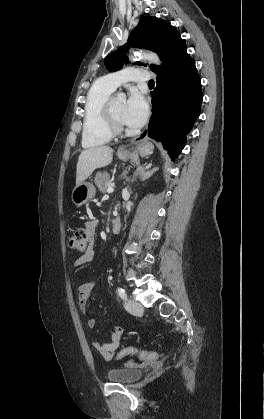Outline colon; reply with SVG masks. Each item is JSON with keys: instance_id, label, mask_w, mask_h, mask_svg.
Instances as JSON below:
<instances>
[{"instance_id": "colon-1", "label": "colon", "mask_w": 264, "mask_h": 419, "mask_svg": "<svg viewBox=\"0 0 264 419\" xmlns=\"http://www.w3.org/2000/svg\"><path fill=\"white\" fill-rule=\"evenodd\" d=\"M89 235L85 228H78L70 239V247L77 253H85L88 249ZM127 355H135L141 360H154L160 357V353L155 351H142L134 347H125L119 351L117 358Z\"/></svg>"}]
</instances>
